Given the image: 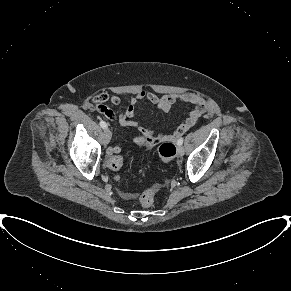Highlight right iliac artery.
<instances>
[{
	"instance_id": "right-iliac-artery-1",
	"label": "right iliac artery",
	"mask_w": 291,
	"mask_h": 291,
	"mask_svg": "<svg viewBox=\"0 0 291 291\" xmlns=\"http://www.w3.org/2000/svg\"><path fill=\"white\" fill-rule=\"evenodd\" d=\"M100 126H101L103 129H106V128H107V124H106V122H104V121H100Z\"/></svg>"
}]
</instances>
